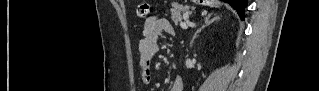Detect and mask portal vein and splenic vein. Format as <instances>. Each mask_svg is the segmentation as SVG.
<instances>
[{"mask_svg":"<svg viewBox=\"0 0 319 91\" xmlns=\"http://www.w3.org/2000/svg\"><path fill=\"white\" fill-rule=\"evenodd\" d=\"M180 26L183 29H187L188 28V25L186 23H183V22L180 23Z\"/></svg>","mask_w":319,"mask_h":91,"instance_id":"1","label":"portal vein and splenic vein"}]
</instances>
